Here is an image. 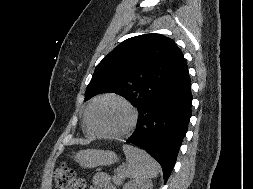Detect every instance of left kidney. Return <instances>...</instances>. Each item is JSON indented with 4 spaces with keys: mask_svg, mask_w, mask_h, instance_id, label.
Masks as SVG:
<instances>
[{
    "mask_svg": "<svg viewBox=\"0 0 253 189\" xmlns=\"http://www.w3.org/2000/svg\"><path fill=\"white\" fill-rule=\"evenodd\" d=\"M123 189H152V183L151 181L135 179L127 182Z\"/></svg>",
    "mask_w": 253,
    "mask_h": 189,
    "instance_id": "left-kidney-1",
    "label": "left kidney"
}]
</instances>
